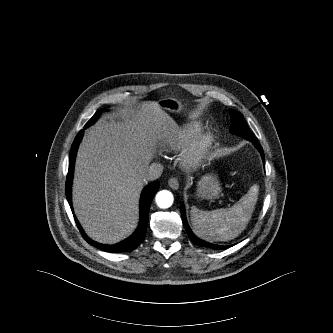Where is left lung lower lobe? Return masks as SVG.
<instances>
[{
    "mask_svg": "<svg viewBox=\"0 0 333 333\" xmlns=\"http://www.w3.org/2000/svg\"><path fill=\"white\" fill-rule=\"evenodd\" d=\"M249 141L253 142L257 146V148L259 149V151H260V153L262 155L263 161H265L264 160V154H263L262 147L257 142H255L253 139H251ZM181 213H182L183 224H184L185 229H186V231L188 233V236H189V238L191 239L192 242H194L195 244H197L199 246H202V247H207V248H212V249H218V250L219 249H226V248L230 247V246L214 245V244L208 243V242H206L204 240H201V239L197 238L193 234V232L191 231V229H190V227H189V225L187 223V220H186V217H185L184 207H181Z\"/></svg>",
    "mask_w": 333,
    "mask_h": 333,
    "instance_id": "0a47b994",
    "label": "left lung lower lobe"
}]
</instances>
